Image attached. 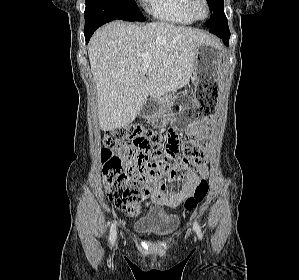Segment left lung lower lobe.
<instances>
[{
    "instance_id": "obj_1",
    "label": "left lung lower lobe",
    "mask_w": 299,
    "mask_h": 280,
    "mask_svg": "<svg viewBox=\"0 0 299 280\" xmlns=\"http://www.w3.org/2000/svg\"><path fill=\"white\" fill-rule=\"evenodd\" d=\"M210 32L222 38L224 43L228 45V41L230 38V31L228 28V22L226 18H224V20L220 25H217L216 27L212 28Z\"/></svg>"
}]
</instances>
